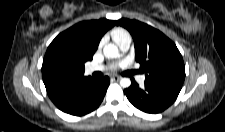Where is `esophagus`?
Segmentation results:
<instances>
[{
    "label": "esophagus",
    "mask_w": 225,
    "mask_h": 132,
    "mask_svg": "<svg viewBox=\"0 0 225 132\" xmlns=\"http://www.w3.org/2000/svg\"><path fill=\"white\" fill-rule=\"evenodd\" d=\"M120 79H121V77H119V76H112L111 77L112 81H119Z\"/></svg>",
    "instance_id": "1"
}]
</instances>
